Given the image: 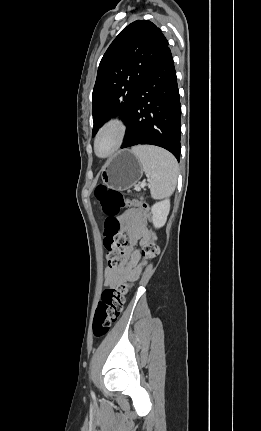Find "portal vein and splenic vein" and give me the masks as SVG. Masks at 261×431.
<instances>
[{
    "label": "portal vein and splenic vein",
    "mask_w": 261,
    "mask_h": 431,
    "mask_svg": "<svg viewBox=\"0 0 261 431\" xmlns=\"http://www.w3.org/2000/svg\"><path fill=\"white\" fill-rule=\"evenodd\" d=\"M144 186H145V184H142V185H141V187H144ZM138 190H140V187L138 188Z\"/></svg>",
    "instance_id": "18ae733b"
}]
</instances>
